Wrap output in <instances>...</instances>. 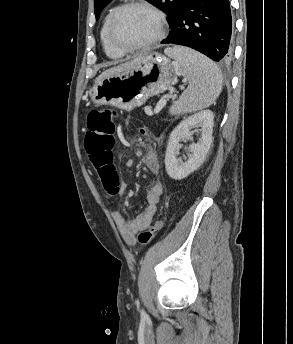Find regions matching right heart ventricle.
I'll list each match as a JSON object with an SVG mask.
<instances>
[{
    "label": "right heart ventricle",
    "instance_id": "obj_1",
    "mask_svg": "<svg viewBox=\"0 0 293 344\" xmlns=\"http://www.w3.org/2000/svg\"><path fill=\"white\" fill-rule=\"evenodd\" d=\"M114 9H111L105 16L101 30H100V40L106 56L112 60H120L125 56V53L116 50L110 43L108 38V24L109 19Z\"/></svg>",
    "mask_w": 293,
    "mask_h": 344
}]
</instances>
